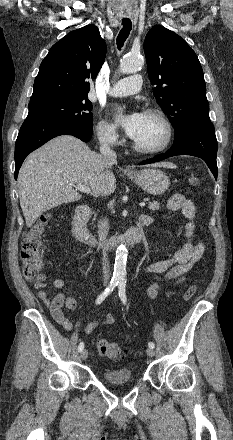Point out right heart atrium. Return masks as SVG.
Wrapping results in <instances>:
<instances>
[{"instance_id": "1", "label": "right heart atrium", "mask_w": 233, "mask_h": 440, "mask_svg": "<svg viewBox=\"0 0 233 440\" xmlns=\"http://www.w3.org/2000/svg\"><path fill=\"white\" fill-rule=\"evenodd\" d=\"M96 133L101 144L108 147H116L120 143V136L115 126L101 119L96 126Z\"/></svg>"}]
</instances>
